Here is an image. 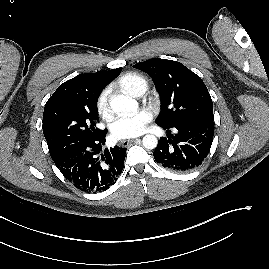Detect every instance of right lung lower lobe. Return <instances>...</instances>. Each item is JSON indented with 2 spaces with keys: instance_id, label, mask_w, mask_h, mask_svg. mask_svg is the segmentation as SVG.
<instances>
[{
  "instance_id": "right-lung-lower-lobe-1",
  "label": "right lung lower lobe",
  "mask_w": 269,
  "mask_h": 269,
  "mask_svg": "<svg viewBox=\"0 0 269 269\" xmlns=\"http://www.w3.org/2000/svg\"><path fill=\"white\" fill-rule=\"evenodd\" d=\"M107 130L96 138L73 144L66 152L53 159L64 177L75 187L97 193L113 185L124 168L126 148L105 149Z\"/></svg>"
}]
</instances>
